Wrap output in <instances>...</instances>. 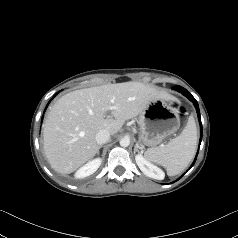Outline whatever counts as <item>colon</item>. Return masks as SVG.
Returning a JSON list of instances; mask_svg holds the SVG:
<instances>
[{
    "label": "colon",
    "instance_id": "1",
    "mask_svg": "<svg viewBox=\"0 0 238 238\" xmlns=\"http://www.w3.org/2000/svg\"><path fill=\"white\" fill-rule=\"evenodd\" d=\"M180 113L183 115L185 113V109L183 107L180 108Z\"/></svg>",
    "mask_w": 238,
    "mask_h": 238
}]
</instances>
